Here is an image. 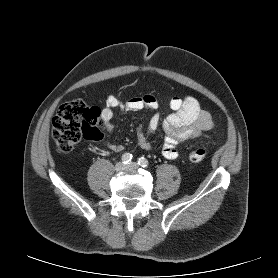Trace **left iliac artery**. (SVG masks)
<instances>
[{"mask_svg": "<svg viewBox=\"0 0 278 278\" xmlns=\"http://www.w3.org/2000/svg\"><path fill=\"white\" fill-rule=\"evenodd\" d=\"M138 164H139L141 167H147L148 164H149V162H148V160H147L146 158L140 157V158L138 159Z\"/></svg>", "mask_w": 278, "mask_h": 278, "instance_id": "44dca946", "label": "left iliac artery"}]
</instances>
